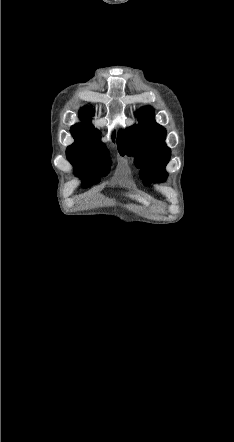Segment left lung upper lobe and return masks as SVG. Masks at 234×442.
Segmentation results:
<instances>
[{
	"label": "left lung upper lobe",
	"mask_w": 234,
	"mask_h": 442,
	"mask_svg": "<svg viewBox=\"0 0 234 442\" xmlns=\"http://www.w3.org/2000/svg\"><path fill=\"white\" fill-rule=\"evenodd\" d=\"M139 124L121 131L117 137L118 151L123 156H135V164L140 168L144 184L166 179L165 166L170 159V149L165 144L166 131L154 120L151 107H143L137 112Z\"/></svg>",
	"instance_id": "left-lung-upper-lobe-1"
}]
</instances>
